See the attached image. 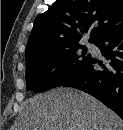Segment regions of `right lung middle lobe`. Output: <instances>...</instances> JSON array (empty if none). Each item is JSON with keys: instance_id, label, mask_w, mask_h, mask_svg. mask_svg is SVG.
I'll return each instance as SVG.
<instances>
[{"instance_id": "1", "label": "right lung middle lobe", "mask_w": 123, "mask_h": 130, "mask_svg": "<svg viewBox=\"0 0 123 130\" xmlns=\"http://www.w3.org/2000/svg\"><path fill=\"white\" fill-rule=\"evenodd\" d=\"M82 49V53L78 52ZM90 57L84 46L74 45L26 60V90L44 92L73 75Z\"/></svg>"}]
</instances>
